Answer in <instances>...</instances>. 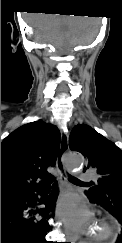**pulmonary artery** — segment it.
Returning a JSON list of instances; mask_svg holds the SVG:
<instances>
[{
  "mask_svg": "<svg viewBox=\"0 0 122 243\" xmlns=\"http://www.w3.org/2000/svg\"><path fill=\"white\" fill-rule=\"evenodd\" d=\"M80 179L82 181H91L95 179V175L92 172H82L80 173Z\"/></svg>",
  "mask_w": 122,
  "mask_h": 243,
  "instance_id": "1",
  "label": "pulmonary artery"
}]
</instances>
